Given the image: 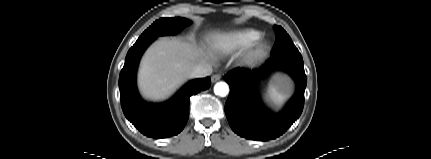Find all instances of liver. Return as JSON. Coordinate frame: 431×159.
Returning a JSON list of instances; mask_svg holds the SVG:
<instances>
[{"instance_id": "6515ba94", "label": "liver", "mask_w": 431, "mask_h": 159, "mask_svg": "<svg viewBox=\"0 0 431 159\" xmlns=\"http://www.w3.org/2000/svg\"><path fill=\"white\" fill-rule=\"evenodd\" d=\"M207 60L204 47L162 38L153 43L142 58L138 75L140 91L150 100L166 99L190 77L196 65L206 64Z\"/></svg>"}]
</instances>
